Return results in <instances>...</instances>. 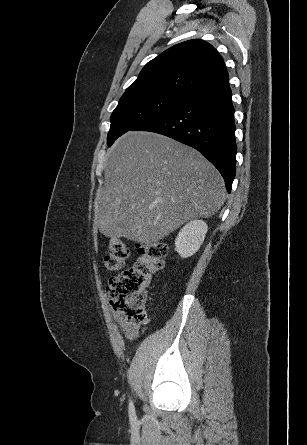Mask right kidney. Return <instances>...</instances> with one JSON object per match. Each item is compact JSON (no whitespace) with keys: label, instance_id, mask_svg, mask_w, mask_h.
<instances>
[{"label":"right kidney","instance_id":"ca27d5eb","mask_svg":"<svg viewBox=\"0 0 307 445\" xmlns=\"http://www.w3.org/2000/svg\"><path fill=\"white\" fill-rule=\"evenodd\" d=\"M208 231V227L204 220H191L183 229H181L175 241V251L179 253L180 257L187 259L197 253Z\"/></svg>","mask_w":307,"mask_h":445}]
</instances>
